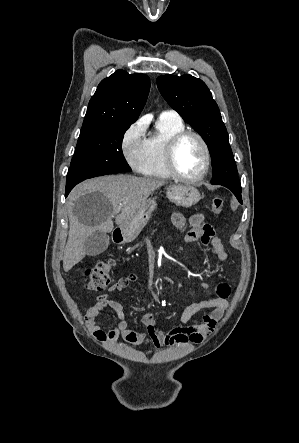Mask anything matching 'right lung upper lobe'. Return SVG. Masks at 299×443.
Returning a JSON list of instances; mask_svg holds the SVG:
<instances>
[{
  "mask_svg": "<svg viewBox=\"0 0 299 443\" xmlns=\"http://www.w3.org/2000/svg\"><path fill=\"white\" fill-rule=\"evenodd\" d=\"M150 88L145 74L117 70L103 79L92 96L81 132L112 124H132L145 105Z\"/></svg>",
  "mask_w": 299,
  "mask_h": 443,
  "instance_id": "1",
  "label": "right lung upper lobe"
}]
</instances>
